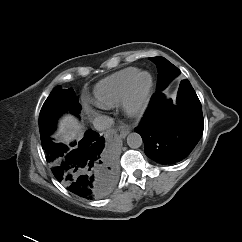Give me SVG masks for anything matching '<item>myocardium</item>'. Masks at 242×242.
<instances>
[{
  "instance_id": "myocardium-1",
  "label": "myocardium",
  "mask_w": 242,
  "mask_h": 242,
  "mask_svg": "<svg viewBox=\"0 0 242 242\" xmlns=\"http://www.w3.org/2000/svg\"><path fill=\"white\" fill-rule=\"evenodd\" d=\"M147 76V82L143 88H138V79ZM153 77L147 71H138L129 82L125 94L121 100L122 110L129 117H139L143 115L149 105L153 90Z\"/></svg>"
}]
</instances>
